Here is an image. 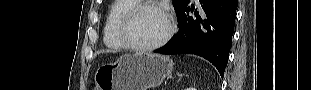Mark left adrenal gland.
I'll return each instance as SVG.
<instances>
[{
  "instance_id": "1",
  "label": "left adrenal gland",
  "mask_w": 311,
  "mask_h": 90,
  "mask_svg": "<svg viewBox=\"0 0 311 90\" xmlns=\"http://www.w3.org/2000/svg\"><path fill=\"white\" fill-rule=\"evenodd\" d=\"M178 76H179L180 78H182L183 75L178 73Z\"/></svg>"
}]
</instances>
